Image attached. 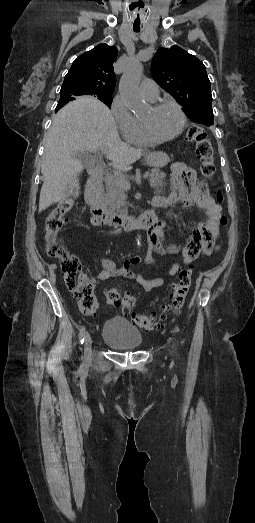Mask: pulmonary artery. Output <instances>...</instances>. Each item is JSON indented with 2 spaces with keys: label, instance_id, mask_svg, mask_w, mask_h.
<instances>
[{
  "label": "pulmonary artery",
  "instance_id": "e3ab8cb5",
  "mask_svg": "<svg viewBox=\"0 0 255 523\" xmlns=\"http://www.w3.org/2000/svg\"><path fill=\"white\" fill-rule=\"evenodd\" d=\"M141 92L143 96L149 100H155L159 96V88L152 78L142 82Z\"/></svg>",
  "mask_w": 255,
  "mask_h": 523
}]
</instances>
